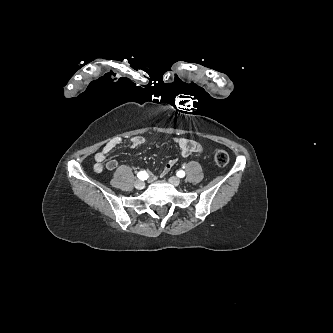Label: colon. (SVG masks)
<instances>
[{"label": "colon", "mask_w": 333, "mask_h": 333, "mask_svg": "<svg viewBox=\"0 0 333 333\" xmlns=\"http://www.w3.org/2000/svg\"><path fill=\"white\" fill-rule=\"evenodd\" d=\"M214 160L218 166H225L229 162V155L224 150H217L214 153Z\"/></svg>", "instance_id": "5ec220e1"}]
</instances>
